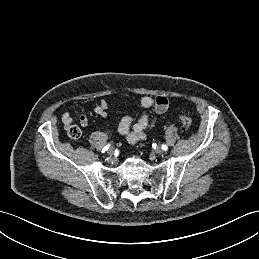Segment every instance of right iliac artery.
Masks as SVG:
<instances>
[{
  "instance_id": "1",
  "label": "right iliac artery",
  "mask_w": 259,
  "mask_h": 259,
  "mask_svg": "<svg viewBox=\"0 0 259 259\" xmlns=\"http://www.w3.org/2000/svg\"><path fill=\"white\" fill-rule=\"evenodd\" d=\"M109 144L108 145H106L104 148H103V150H102V152L104 153L106 150H108L109 149Z\"/></svg>"
}]
</instances>
